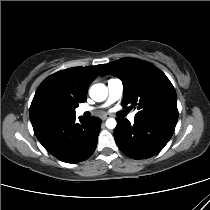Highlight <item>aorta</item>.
<instances>
[{
  "instance_id": "762f6f07",
  "label": "aorta",
  "mask_w": 210,
  "mask_h": 210,
  "mask_svg": "<svg viewBox=\"0 0 210 210\" xmlns=\"http://www.w3.org/2000/svg\"><path fill=\"white\" fill-rule=\"evenodd\" d=\"M90 97L96 102L104 101L108 96V88L102 84H94L89 91ZM117 125V122L114 118H109L106 121V127L109 129H114Z\"/></svg>"
}]
</instances>
